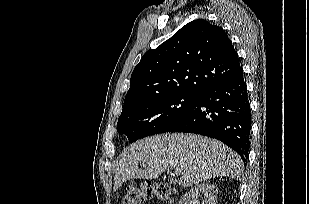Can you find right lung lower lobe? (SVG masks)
Listing matches in <instances>:
<instances>
[{"instance_id": "obj_1", "label": "right lung lower lobe", "mask_w": 309, "mask_h": 204, "mask_svg": "<svg viewBox=\"0 0 309 204\" xmlns=\"http://www.w3.org/2000/svg\"><path fill=\"white\" fill-rule=\"evenodd\" d=\"M251 110L242 67L231 78L212 84L191 109L165 132L196 133L216 138L247 162Z\"/></svg>"}]
</instances>
